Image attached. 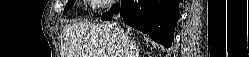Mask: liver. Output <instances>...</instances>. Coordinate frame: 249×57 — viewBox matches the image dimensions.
<instances>
[{
  "label": "liver",
  "mask_w": 249,
  "mask_h": 57,
  "mask_svg": "<svg viewBox=\"0 0 249 57\" xmlns=\"http://www.w3.org/2000/svg\"><path fill=\"white\" fill-rule=\"evenodd\" d=\"M119 31L124 32L120 25L109 23L66 25L61 33L62 57H122Z\"/></svg>",
  "instance_id": "obj_1"
}]
</instances>
